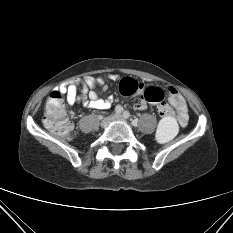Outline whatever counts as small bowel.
Masks as SVG:
<instances>
[{
	"instance_id": "small-bowel-1",
	"label": "small bowel",
	"mask_w": 233,
	"mask_h": 233,
	"mask_svg": "<svg viewBox=\"0 0 233 233\" xmlns=\"http://www.w3.org/2000/svg\"><path fill=\"white\" fill-rule=\"evenodd\" d=\"M85 82L89 89H84L81 95L78 94V90L81 85L80 79H73L69 84L60 86L59 92L66 96V100L69 104L81 103L85 107L99 110L110 108L112 99H101L95 90L97 86H103V79L95 80L88 77ZM168 91L169 103L176 110V116L179 123L184 126L188 120L186 101L175 88L169 87ZM146 107L147 105L144 100L135 104V109L138 111H143Z\"/></svg>"
}]
</instances>
